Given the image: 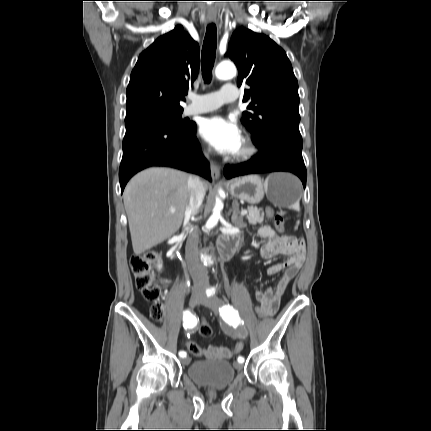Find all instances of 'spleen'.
<instances>
[{
	"mask_svg": "<svg viewBox=\"0 0 431 431\" xmlns=\"http://www.w3.org/2000/svg\"><path fill=\"white\" fill-rule=\"evenodd\" d=\"M291 207H292L293 209L297 210V211H300V204H299V201H298V202H296V203H294ZM298 224H299V221L297 222V226H298ZM297 226H296V228H297Z\"/></svg>",
	"mask_w": 431,
	"mask_h": 431,
	"instance_id": "1",
	"label": "spleen"
}]
</instances>
